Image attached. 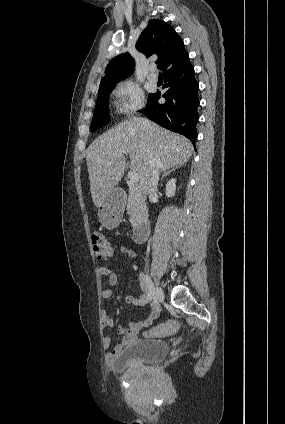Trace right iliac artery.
I'll list each match as a JSON object with an SVG mask.
<instances>
[{
  "instance_id": "right-iliac-artery-1",
  "label": "right iliac artery",
  "mask_w": 285,
  "mask_h": 424,
  "mask_svg": "<svg viewBox=\"0 0 285 424\" xmlns=\"http://www.w3.org/2000/svg\"><path fill=\"white\" fill-rule=\"evenodd\" d=\"M141 275H142V278L144 279V282L146 284V289L148 291L149 301L156 302V300H155V293H154L153 285L151 283L150 278L148 277L147 274L142 273Z\"/></svg>"
}]
</instances>
